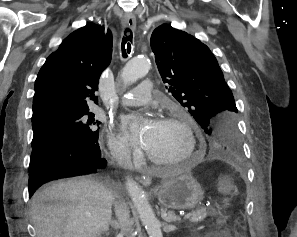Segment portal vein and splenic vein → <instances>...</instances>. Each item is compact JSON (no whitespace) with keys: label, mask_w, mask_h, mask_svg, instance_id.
<instances>
[{"label":"portal vein and splenic vein","mask_w":297,"mask_h":237,"mask_svg":"<svg viewBox=\"0 0 297 237\" xmlns=\"http://www.w3.org/2000/svg\"><path fill=\"white\" fill-rule=\"evenodd\" d=\"M190 216V213L184 215V218H188Z\"/></svg>","instance_id":"1"}]
</instances>
